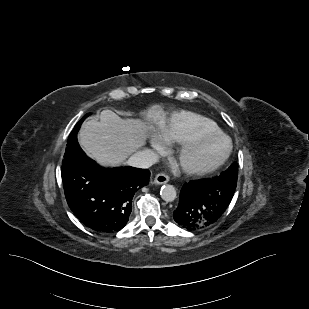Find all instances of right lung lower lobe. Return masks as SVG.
<instances>
[{
    "label": "right lung lower lobe",
    "mask_w": 309,
    "mask_h": 309,
    "mask_svg": "<svg viewBox=\"0 0 309 309\" xmlns=\"http://www.w3.org/2000/svg\"><path fill=\"white\" fill-rule=\"evenodd\" d=\"M84 119L67 140L61 176L67 203L78 219L100 233L121 230L128 222L132 199L149 182L150 171L134 167L107 169L90 160L77 141Z\"/></svg>",
    "instance_id": "obj_1"
}]
</instances>
